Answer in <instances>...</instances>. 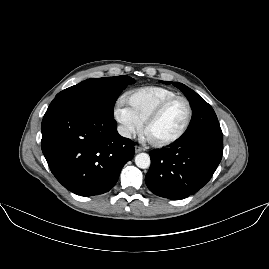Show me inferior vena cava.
I'll return each mask as SVG.
<instances>
[{"label":"inferior vena cava","mask_w":269,"mask_h":269,"mask_svg":"<svg viewBox=\"0 0 269 269\" xmlns=\"http://www.w3.org/2000/svg\"><path fill=\"white\" fill-rule=\"evenodd\" d=\"M117 130H118L119 135L122 137L130 139L132 136L130 129H128L125 126H119Z\"/></svg>","instance_id":"602c4592"}]
</instances>
